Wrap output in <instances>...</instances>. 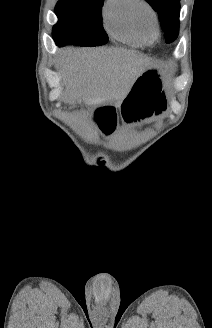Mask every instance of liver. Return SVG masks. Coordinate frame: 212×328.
Wrapping results in <instances>:
<instances>
[{"label": "liver", "instance_id": "6515ba94", "mask_svg": "<svg viewBox=\"0 0 212 328\" xmlns=\"http://www.w3.org/2000/svg\"><path fill=\"white\" fill-rule=\"evenodd\" d=\"M65 71L63 100L83 97L86 104L119 105L147 63L145 57L124 48L67 50L59 59Z\"/></svg>", "mask_w": 212, "mask_h": 328}]
</instances>
